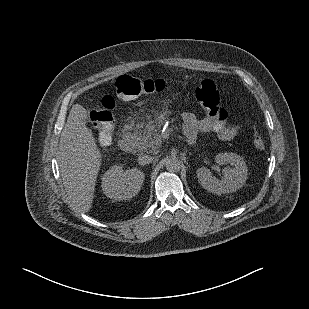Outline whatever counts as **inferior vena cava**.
Returning a JSON list of instances; mask_svg holds the SVG:
<instances>
[{"label":"inferior vena cava","mask_w":309,"mask_h":309,"mask_svg":"<svg viewBox=\"0 0 309 309\" xmlns=\"http://www.w3.org/2000/svg\"><path fill=\"white\" fill-rule=\"evenodd\" d=\"M154 157L149 155H141L138 157V163L142 166L152 163Z\"/></svg>","instance_id":"obj_1"}]
</instances>
